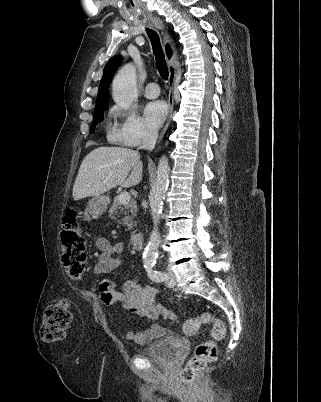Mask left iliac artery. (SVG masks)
I'll list each match as a JSON object with an SVG mask.
<instances>
[{
  "mask_svg": "<svg viewBox=\"0 0 321 402\" xmlns=\"http://www.w3.org/2000/svg\"><path fill=\"white\" fill-rule=\"evenodd\" d=\"M154 265L145 266L149 278L155 282H163L167 279V274L154 270Z\"/></svg>",
  "mask_w": 321,
  "mask_h": 402,
  "instance_id": "left-iliac-artery-1",
  "label": "left iliac artery"
}]
</instances>
